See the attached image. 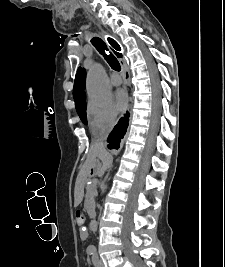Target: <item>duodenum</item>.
I'll use <instances>...</instances> for the list:
<instances>
[{
	"label": "duodenum",
	"instance_id": "410a0bca",
	"mask_svg": "<svg viewBox=\"0 0 225 267\" xmlns=\"http://www.w3.org/2000/svg\"><path fill=\"white\" fill-rule=\"evenodd\" d=\"M90 227H91L92 230H96V228H97V222L95 220H92L91 221V224H90Z\"/></svg>",
	"mask_w": 225,
	"mask_h": 267
}]
</instances>
